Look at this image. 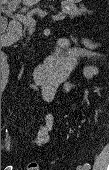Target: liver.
Segmentation results:
<instances>
[{"instance_id": "obj_1", "label": "liver", "mask_w": 109, "mask_h": 170, "mask_svg": "<svg viewBox=\"0 0 109 170\" xmlns=\"http://www.w3.org/2000/svg\"><path fill=\"white\" fill-rule=\"evenodd\" d=\"M4 1H7V0H4ZM9 2H14V3H18V2H21V0H18V2H16L17 0H8ZM23 1V4L26 5V6H31V5H34L38 2H40L41 0H22ZM25 10V9H24Z\"/></svg>"}]
</instances>
